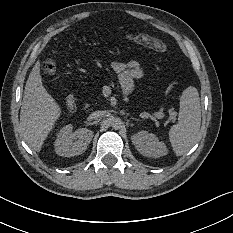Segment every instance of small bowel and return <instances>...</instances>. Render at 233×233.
I'll return each instance as SVG.
<instances>
[{
  "label": "small bowel",
  "mask_w": 233,
  "mask_h": 233,
  "mask_svg": "<svg viewBox=\"0 0 233 233\" xmlns=\"http://www.w3.org/2000/svg\"><path fill=\"white\" fill-rule=\"evenodd\" d=\"M111 67L117 73L123 94L126 96L133 91L135 80L142 79L144 76L143 67L137 60L114 61Z\"/></svg>",
  "instance_id": "c3829d8e"
}]
</instances>
